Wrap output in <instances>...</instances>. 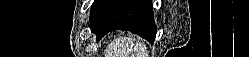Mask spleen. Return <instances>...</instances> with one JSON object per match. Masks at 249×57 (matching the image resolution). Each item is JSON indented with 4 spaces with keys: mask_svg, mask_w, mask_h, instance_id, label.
<instances>
[{
    "mask_svg": "<svg viewBox=\"0 0 249 57\" xmlns=\"http://www.w3.org/2000/svg\"><path fill=\"white\" fill-rule=\"evenodd\" d=\"M134 51V53H133ZM146 47L140 41L132 38H121L120 49L109 53L107 57H145Z\"/></svg>",
    "mask_w": 249,
    "mask_h": 57,
    "instance_id": "3e777b00",
    "label": "spleen"
}]
</instances>
